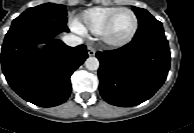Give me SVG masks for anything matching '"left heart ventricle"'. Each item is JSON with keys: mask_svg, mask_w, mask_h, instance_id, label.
<instances>
[{"mask_svg": "<svg viewBox=\"0 0 194 133\" xmlns=\"http://www.w3.org/2000/svg\"><path fill=\"white\" fill-rule=\"evenodd\" d=\"M134 27V17L130 12L123 11L115 18L109 35L113 40H123L129 36Z\"/></svg>", "mask_w": 194, "mask_h": 133, "instance_id": "obj_1", "label": "left heart ventricle"}]
</instances>
